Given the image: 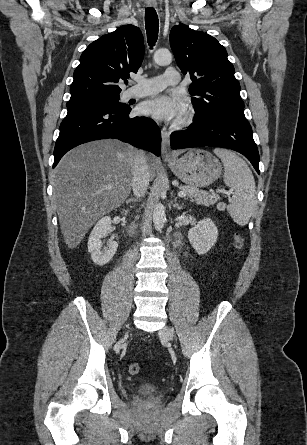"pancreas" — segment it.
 I'll return each instance as SVG.
<instances>
[{"instance_id": "1", "label": "pancreas", "mask_w": 307, "mask_h": 445, "mask_svg": "<svg viewBox=\"0 0 307 445\" xmlns=\"http://www.w3.org/2000/svg\"><path fill=\"white\" fill-rule=\"evenodd\" d=\"M181 190L187 194V198H190L192 202H196V204H203V206H211V204H215L218 202L220 196L219 194H209V192H205V190H200L197 186H180Z\"/></svg>"}]
</instances>
